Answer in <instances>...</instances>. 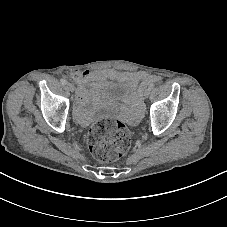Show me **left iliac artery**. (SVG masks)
<instances>
[{"mask_svg": "<svg viewBox=\"0 0 227 227\" xmlns=\"http://www.w3.org/2000/svg\"><path fill=\"white\" fill-rule=\"evenodd\" d=\"M149 88L152 90L154 88V84H151Z\"/></svg>", "mask_w": 227, "mask_h": 227, "instance_id": "44dca946", "label": "left iliac artery"}]
</instances>
